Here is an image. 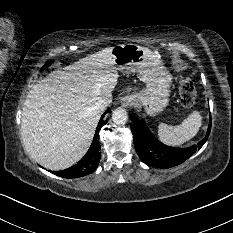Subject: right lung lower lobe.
Segmentation results:
<instances>
[{
  "label": "right lung lower lobe",
  "instance_id": "obj_1",
  "mask_svg": "<svg viewBox=\"0 0 233 233\" xmlns=\"http://www.w3.org/2000/svg\"><path fill=\"white\" fill-rule=\"evenodd\" d=\"M109 111L110 109H108L102 115L98 123L96 133L93 138V142L86 155L74 166L61 171H52L53 174L64 178H78L92 173L97 168L101 158V152H100L101 146L98 141V133L100 128L107 123L108 119H104V116Z\"/></svg>",
  "mask_w": 233,
  "mask_h": 233
}]
</instances>
